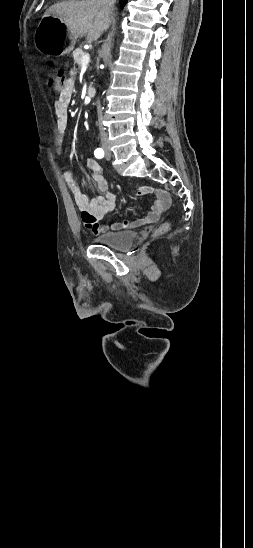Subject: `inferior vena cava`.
Returning <instances> with one entry per match:
<instances>
[{"label":"inferior vena cava","mask_w":253,"mask_h":548,"mask_svg":"<svg viewBox=\"0 0 253 548\" xmlns=\"http://www.w3.org/2000/svg\"><path fill=\"white\" fill-rule=\"evenodd\" d=\"M116 0H100V3L102 5V7L104 8L105 10V14H106V17L109 19L110 15L113 13L114 11V4H115ZM98 112H99V116H98V129L100 130V138L102 141H105L107 140V134L105 132V126L103 125V120H104V114H102L101 112V107L99 106L98 107Z\"/></svg>","instance_id":"1"}]
</instances>
